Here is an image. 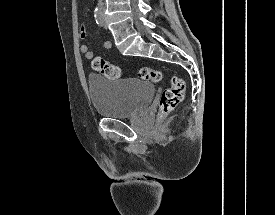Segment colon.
Returning a JSON list of instances; mask_svg holds the SVG:
<instances>
[{"label": "colon", "instance_id": "5ec220e1", "mask_svg": "<svg viewBox=\"0 0 275 215\" xmlns=\"http://www.w3.org/2000/svg\"><path fill=\"white\" fill-rule=\"evenodd\" d=\"M91 65L94 70L98 71L105 78L118 79L121 75V69L118 66L101 57L94 58ZM139 78L150 82H159L162 74L157 69L143 67L139 71ZM185 88L184 80L177 77L171 79L169 87L164 89L160 96L158 106L159 117L163 118L175 109L184 97Z\"/></svg>", "mask_w": 275, "mask_h": 215}]
</instances>
